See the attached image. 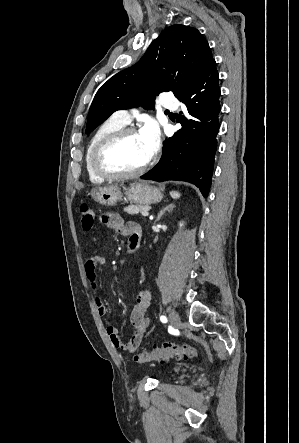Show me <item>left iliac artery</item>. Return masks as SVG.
<instances>
[{
  "label": "left iliac artery",
  "instance_id": "obj_1",
  "mask_svg": "<svg viewBox=\"0 0 299 443\" xmlns=\"http://www.w3.org/2000/svg\"><path fill=\"white\" fill-rule=\"evenodd\" d=\"M160 320H161L162 323H166L167 322V318L164 315L160 316Z\"/></svg>",
  "mask_w": 299,
  "mask_h": 443
}]
</instances>
